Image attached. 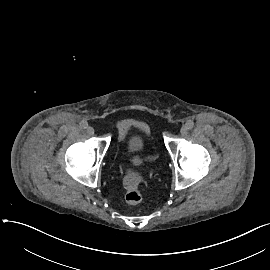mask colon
I'll list each match as a JSON object with an SVG mask.
<instances>
[{
	"mask_svg": "<svg viewBox=\"0 0 270 270\" xmlns=\"http://www.w3.org/2000/svg\"><path fill=\"white\" fill-rule=\"evenodd\" d=\"M124 199L128 204H139L142 200V193L135 180L127 178L124 181Z\"/></svg>",
	"mask_w": 270,
	"mask_h": 270,
	"instance_id": "5ec220e1",
	"label": "colon"
}]
</instances>
